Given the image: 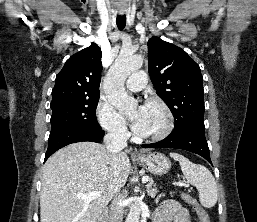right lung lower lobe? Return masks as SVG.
Segmentation results:
<instances>
[{"mask_svg": "<svg viewBox=\"0 0 257 222\" xmlns=\"http://www.w3.org/2000/svg\"><path fill=\"white\" fill-rule=\"evenodd\" d=\"M104 136V131H90V130H66L55 135L49 136L48 149L45 154L46 161L58 149L75 142L91 141L99 143Z\"/></svg>", "mask_w": 257, "mask_h": 222, "instance_id": "obj_1", "label": "right lung lower lobe"}]
</instances>
